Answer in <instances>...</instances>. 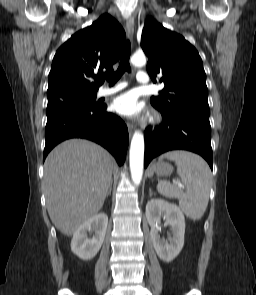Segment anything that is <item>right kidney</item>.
<instances>
[{
  "label": "right kidney",
  "instance_id": "1",
  "mask_svg": "<svg viewBox=\"0 0 256 295\" xmlns=\"http://www.w3.org/2000/svg\"><path fill=\"white\" fill-rule=\"evenodd\" d=\"M108 225V216L99 213L86 220L74 233L71 251L83 260H90L100 250ZM88 233H94L88 238Z\"/></svg>",
  "mask_w": 256,
  "mask_h": 295
}]
</instances>
